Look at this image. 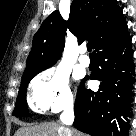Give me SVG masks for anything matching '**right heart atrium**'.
Returning a JSON list of instances; mask_svg holds the SVG:
<instances>
[{"label": "right heart atrium", "instance_id": "1", "mask_svg": "<svg viewBox=\"0 0 136 136\" xmlns=\"http://www.w3.org/2000/svg\"><path fill=\"white\" fill-rule=\"evenodd\" d=\"M30 107L33 111L59 112L73 106L69 77L61 69H47L37 75L30 84Z\"/></svg>", "mask_w": 136, "mask_h": 136}]
</instances>
